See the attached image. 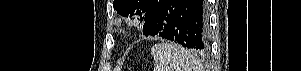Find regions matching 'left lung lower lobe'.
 <instances>
[{"mask_svg": "<svg viewBox=\"0 0 301 71\" xmlns=\"http://www.w3.org/2000/svg\"><path fill=\"white\" fill-rule=\"evenodd\" d=\"M143 24L146 36H159L200 51L208 48L204 0H160Z\"/></svg>", "mask_w": 301, "mask_h": 71, "instance_id": "1", "label": "left lung lower lobe"}]
</instances>
